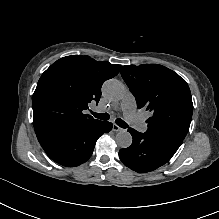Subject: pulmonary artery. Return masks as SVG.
<instances>
[{
    "label": "pulmonary artery",
    "instance_id": "obj_1",
    "mask_svg": "<svg viewBox=\"0 0 219 219\" xmlns=\"http://www.w3.org/2000/svg\"><path fill=\"white\" fill-rule=\"evenodd\" d=\"M120 109L134 130H141L143 128V121L139 118V114L135 112L136 101L131 92L127 91L124 95L120 103ZM95 111H97V109H95Z\"/></svg>",
    "mask_w": 219,
    "mask_h": 219
}]
</instances>
